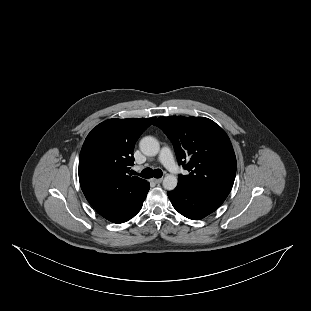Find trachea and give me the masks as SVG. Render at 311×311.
<instances>
[{
  "label": "trachea",
  "instance_id": "obj_1",
  "mask_svg": "<svg viewBox=\"0 0 311 311\" xmlns=\"http://www.w3.org/2000/svg\"><path fill=\"white\" fill-rule=\"evenodd\" d=\"M162 170L161 169H151V168H145L140 176L142 178H161L162 177Z\"/></svg>",
  "mask_w": 311,
  "mask_h": 311
}]
</instances>
